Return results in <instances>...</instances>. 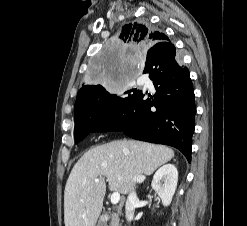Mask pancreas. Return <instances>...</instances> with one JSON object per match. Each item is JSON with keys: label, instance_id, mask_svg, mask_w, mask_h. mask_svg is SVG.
Segmentation results:
<instances>
[{"label": "pancreas", "instance_id": "obj_1", "mask_svg": "<svg viewBox=\"0 0 247 226\" xmlns=\"http://www.w3.org/2000/svg\"><path fill=\"white\" fill-rule=\"evenodd\" d=\"M110 226H119V218L116 214H112Z\"/></svg>", "mask_w": 247, "mask_h": 226}]
</instances>
